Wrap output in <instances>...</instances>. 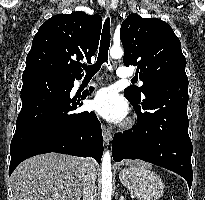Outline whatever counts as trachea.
<instances>
[{
	"mask_svg": "<svg viewBox=\"0 0 205 200\" xmlns=\"http://www.w3.org/2000/svg\"><path fill=\"white\" fill-rule=\"evenodd\" d=\"M110 18H106L104 25H103V30H102V35H101V41H100V48H99V54L98 58L95 64L91 66H84V70L87 72L88 76H93L99 69L101 68V65L103 63L108 62V50L110 47Z\"/></svg>",
	"mask_w": 205,
	"mask_h": 200,
	"instance_id": "trachea-1",
	"label": "trachea"
}]
</instances>
